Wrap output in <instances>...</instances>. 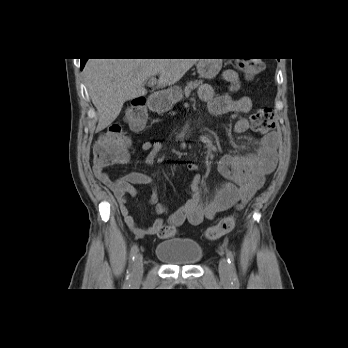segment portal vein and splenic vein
<instances>
[{"label": "portal vein and splenic vein", "mask_w": 348, "mask_h": 348, "mask_svg": "<svg viewBox=\"0 0 348 348\" xmlns=\"http://www.w3.org/2000/svg\"><path fill=\"white\" fill-rule=\"evenodd\" d=\"M156 84V78L152 77L148 81L149 86H154Z\"/></svg>", "instance_id": "18ae733b"}]
</instances>
